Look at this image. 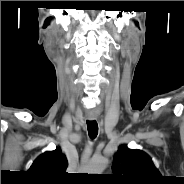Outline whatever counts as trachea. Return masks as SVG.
I'll use <instances>...</instances> for the list:
<instances>
[{
	"mask_svg": "<svg viewBox=\"0 0 184 184\" xmlns=\"http://www.w3.org/2000/svg\"><path fill=\"white\" fill-rule=\"evenodd\" d=\"M88 134L91 139H95L98 134V124L95 120L87 121Z\"/></svg>",
	"mask_w": 184,
	"mask_h": 184,
	"instance_id": "trachea-1",
	"label": "trachea"
}]
</instances>
